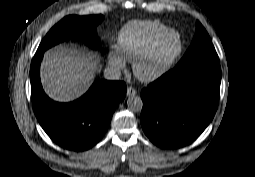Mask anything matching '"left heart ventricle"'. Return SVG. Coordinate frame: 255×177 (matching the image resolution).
Wrapping results in <instances>:
<instances>
[{
	"label": "left heart ventricle",
	"mask_w": 255,
	"mask_h": 177,
	"mask_svg": "<svg viewBox=\"0 0 255 177\" xmlns=\"http://www.w3.org/2000/svg\"><path fill=\"white\" fill-rule=\"evenodd\" d=\"M177 43L178 39L174 34L162 39L154 51L141 63L139 67L140 73L148 75L155 72L176 49Z\"/></svg>",
	"instance_id": "left-heart-ventricle-1"
}]
</instances>
